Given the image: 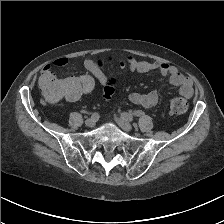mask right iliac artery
<instances>
[{
    "label": "right iliac artery",
    "mask_w": 224,
    "mask_h": 224,
    "mask_svg": "<svg viewBox=\"0 0 224 224\" xmlns=\"http://www.w3.org/2000/svg\"><path fill=\"white\" fill-rule=\"evenodd\" d=\"M91 119H92L93 121H97V120L99 119V114H98L97 112L93 113V114L91 115Z\"/></svg>",
    "instance_id": "1"
}]
</instances>
